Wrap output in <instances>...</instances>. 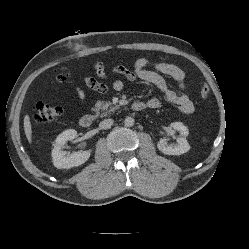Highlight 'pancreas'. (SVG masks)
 <instances>
[{
    "mask_svg": "<svg viewBox=\"0 0 249 249\" xmlns=\"http://www.w3.org/2000/svg\"><path fill=\"white\" fill-rule=\"evenodd\" d=\"M117 108L118 106H114L113 103L109 101H98L95 104L94 110L96 112V115L106 116L107 114L114 112Z\"/></svg>",
    "mask_w": 249,
    "mask_h": 249,
    "instance_id": "obj_1",
    "label": "pancreas"
}]
</instances>
